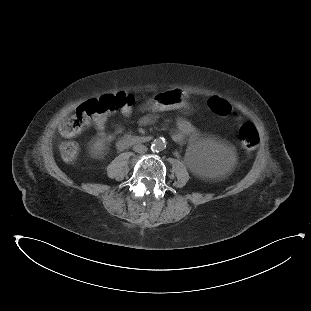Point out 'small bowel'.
Wrapping results in <instances>:
<instances>
[{"label":"small bowel","mask_w":311,"mask_h":311,"mask_svg":"<svg viewBox=\"0 0 311 311\" xmlns=\"http://www.w3.org/2000/svg\"><path fill=\"white\" fill-rule=\"evenodd\" d=\"M108 114H99L94 118V126L98 136L111 142L117 135V131L107 132ZM154 113H148L140 117L141 125H150L156 120ZM200 138L199 130L187 119L179 117L177 119V130L173 133V139L178 143L194 142Z\"/></svg>","instance_id":"small-bowel-1"}]
</instances>
